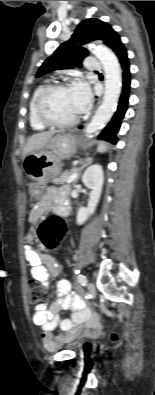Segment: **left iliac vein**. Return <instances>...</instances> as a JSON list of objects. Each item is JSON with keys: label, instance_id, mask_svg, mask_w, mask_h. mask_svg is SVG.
<instances>
[{"label": "left iliac vein", "instance_id": "4c4485c4", "mask_svg": "<svg viewBox=\"0 0 155 395\" xmlns=\"http://www.w3.org/2000/svg\"><path fill=\"white\" fill-rule=\"evenodd\" d=\"M88 291H89V294H90L92 297H95V295H96V290H95V285H94L92 282L88 283Z\"/></svg>", "mask_w": 155, "mask_h": 395}]
</instances>
